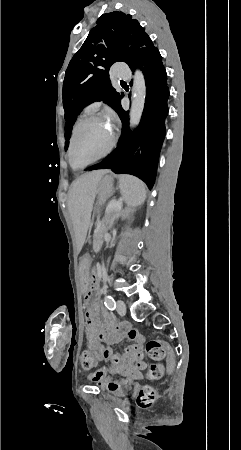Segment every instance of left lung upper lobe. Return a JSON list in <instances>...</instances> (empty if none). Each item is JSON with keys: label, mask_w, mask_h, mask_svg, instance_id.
Segmentation results:
<instances>
[{"label": "left lung upper lobe", "mask_w": 241, "mask_h": 450, "mask_svg": "<svg viewBox=\"0 0 241 450\" xmlns=\"http://www.w3.org/2000/svg\"><path fill=\"white\" fill-rule=\"evenodd\" d=\"M152 47L144 28L131 15L116 11L99 17L65 72L62 96L66 148L76 117L85 106L102 100L116 112L121 106L124 94L111 85V65L125 62L130 66Z\"/></svg>", "instance_id": "5c2ea615"}]
</instances>
